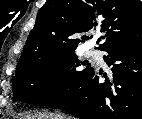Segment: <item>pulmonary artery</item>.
I'll return each instance as SVG.
<instances>
[{
    "label": "pulmonary artery",
    "mask_w": 142,
    "mask_h": 119,
    "mask_svg": "<svg viewBox=\"0 0 142 119\" xmlns=\"http://www.w3.org/2000/svg\"><path fill=\"white\" fill-rule=\"evenodd\" d=\"M87 55H88L90 58L95 59V60H100V59H101L99 53H98L97 51H95V50H89V51L87 52Z\"/></svg>",
    "instance_id": "obj_1"
}]
</instances>
